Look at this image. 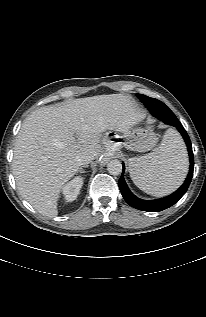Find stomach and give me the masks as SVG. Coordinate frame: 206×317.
I'll use <instances>...</instances> for the list:
<instances>
[{"instance_id":"stomach-1","label":"stomach","mask_w":206,"mask_h":317,"mask_svg":"<svg viewBox=\"0 0 206 317\" xmlns=\"http://www.w3.org/2000/svg\"><path fill=\"white\" fill-rule=\"evenodd\" d=\"M152 135L149 128L132 126L124 134V146L133 151H148L153 147Z\"/></svg>"}]
</instances>
